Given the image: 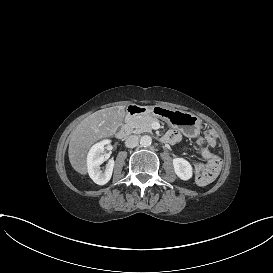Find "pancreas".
<instances>
[{
	"label": "pancreas",
	"instance_id": "obj_1",
	"mask_svg": "<svg viewBox=\"0 0 273 273\" xmlns=\"http://www.w3.org/2000/svg\"><path fill=\"white\" fill-rule=\"evenodd\" d=\"M155 122L160 123L161 120L150 115L126 118V124L133 129V133L135 134H140L144 132L151 133L152 124Z\"/></svg>",
	"mask_w": 273,
	"mask_h": 273
}]
</instances>
